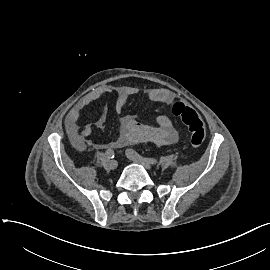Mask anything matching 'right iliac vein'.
I'll use <instances>...</instances> for the list:
<instances>
[{
	"label": "right iliac vein",
	"instance_id": "63e3f726",
	"mask_svg": "<svg viewBox=\"0 0 270 270\" xmlns=\"http://www.w3.org/2000/svg\"><path fill=\"white\" fill-rule=\"evenodd\" d=\"M109 166L111 169H116L118 167V162L116 160H112L109 162Z\"/></svg>",
	"mask_w": 270,
	"mask_h": 270
}]
</instances>
